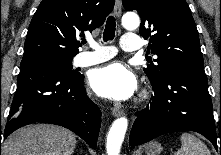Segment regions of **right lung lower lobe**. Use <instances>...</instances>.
Here are the masks:
<instances>
[{"instance_id": "98d812e1", "label": "right lung lower lobe", "mask_w": 221, "mask_h": 155, "mask_svg": "<svg viewBox=\"0 0 221 155\" xmlns=\"http://www.w3.org/2000/svg\"><path fill=\"white\" fill-rule=\"evenodd\" d=\"M83 79L49 63H22L4 138L22 126L43 122L68 128L96 148L101 111L87 97Z\"/></svg>"}]
</instances>
